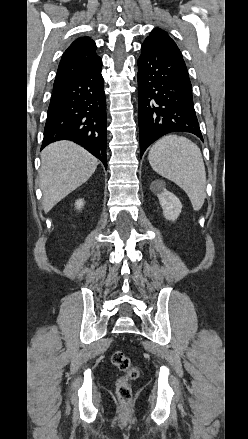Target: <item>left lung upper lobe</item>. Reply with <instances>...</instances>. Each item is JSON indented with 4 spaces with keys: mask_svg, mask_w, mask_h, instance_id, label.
<instances>
[{
    "mask_svg": "<svg viewBox=\"0 0 248 439\" xmlns=\"http://www.w3.org/2000/svg\"><path fill=\"white\" fill-rule=\"evenodd\" d=\"M144 43L153 44L162 48H165L179 56H182L179 48L177 47L176 43L169 37V35L159 29H153L151 34L146 38Z\"/></svg>",
    "mask_w": 248,
    "mask_h": 439,
    "instance_id": "left-lung-upper-lobe-1",
    "label": "left lung upper lobe"
}]
</instances>
